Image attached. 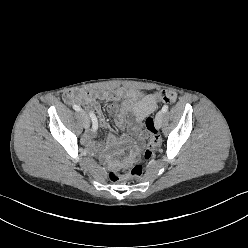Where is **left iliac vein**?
I'll return each mask as SVG.
<instances>
[{
    "mask_svg": "<svg viewBox=\"0 0 248 248\" xmlns=\"http://www.w3.org/2000/svg\"><path fill=\"white\" fill-rule=\"evenodd\" d=\"M164 113L163 111H159L155 116V124L157 128L161 127L162 120H163Z\"/></svg>",
    "mask_w": 248,
    "mask_h": 248,
    "instance_id": "4c4485c4",
    "label": "left iliac vein"
}]
</instances>
